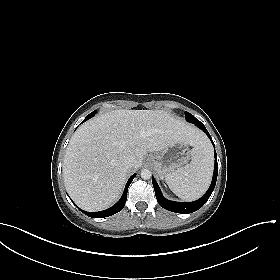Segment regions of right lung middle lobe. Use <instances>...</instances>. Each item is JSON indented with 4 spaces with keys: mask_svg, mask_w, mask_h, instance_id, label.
<instances>
[{
    "mask_svg": "<svg viewBox=\"0 0 280 280\" xmlns=\"http://www.w3.org/2000/svg\"><path fill=\"white\" fill-rule=\"evenodd\" d=\"M94 114H95V111L90 113L89 115L92 117V116H94Z\"/></svg>",
    "mask_w": 280,
    "mask_h": 280,
    "instance_id": "dd1d6c3e",
    "label": "right lung middle lobe"
}]
</instances>
